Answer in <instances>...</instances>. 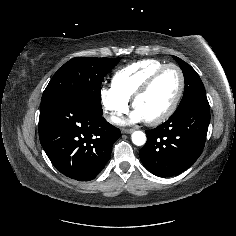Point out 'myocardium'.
I'll return each instance as SVG.
<instances>
[{
    "label": "myocardium",
    "mask_w": 236,
    "mask_h": 236,
    "mask_svg": "<svg viewBox=\"0 0 236 236\" xmlns=\"http://www.w3.org/2000/svg\"><path fill=\"white\" fill-rule=\"evenodd\" d=\"M168 69H174L179 75V89L178 92L170 104V106L158 117L152 119V120H145V122L150 126H157L168 120L176 111L182 96L184 94L185 90V76L182 71V69L176 65V64H166L160 69H158L156 72H154L144 83L143 85L135 92V94L132 97V107L135 108V104L137 100L142 97L144 94H146L152 85L157 81V79Z\"/></svg>",
    "instance_id": "myocardium-1"
}]
</instances>
